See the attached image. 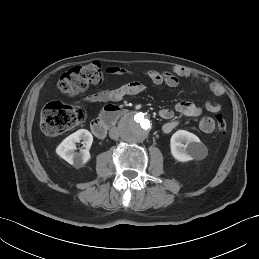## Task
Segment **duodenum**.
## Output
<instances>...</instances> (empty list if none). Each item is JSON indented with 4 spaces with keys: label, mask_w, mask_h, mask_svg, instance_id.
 <instances>
[{
    "label": "duodenum",
    "mask_w": 259,
    "mask_h": 259,
    "mask_svg": "<svg viewBox=\"0 0 259 259\" xmlns=\"http://www.w3.org/2000/svg\"><path fill=\"white\" fill-rule=\"evenodd\" d=\"M128 114V111L116 106L106 105L100 115L91 122V131L97 138H104L118 118Z\"/></svg>",
    "instance_id": "duodenum-1"
}]
</instances>
